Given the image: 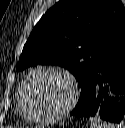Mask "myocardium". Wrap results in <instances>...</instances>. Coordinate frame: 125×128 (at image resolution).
I'll use <instances>...</instances> for the list:
<instances>
[{
    "label": "myocardium",
    "mask_w": 125,
    "mask_h": 128,
    "mask_svg": "<svg viewBox=\"0 0 125 128\" xmlns=\"http://www.w3.org/2000/svg\"><path fill=\"white\" fill-rule=\"evenodd\" d=\"M40 72H51L60 75L63 77L70 86V96L66 102V104L57 110L54 113L50 114H34L30 112L26 106L25 101V88L30 81V79L37 73ZM79 96V87L74 76L67 70L57 67V66H38L31 71L28 72L26 77L23 79L20 87H19V107L22 114L29 120L35 122H53L59 120L64 115H66L76 104Z\"/></svg>",
    "instance_id": "f54148a6"
}]
</instances>
